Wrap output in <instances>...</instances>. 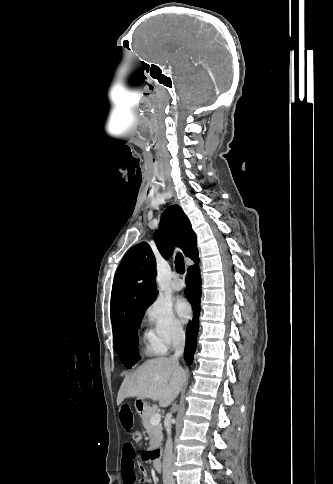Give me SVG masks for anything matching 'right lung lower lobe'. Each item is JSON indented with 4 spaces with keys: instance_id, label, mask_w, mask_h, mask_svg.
Listing matches in <instances>:
<instances>
[{
    "instance_id": "right-lung-lower-lobe-1",
    "label": "right lung lower lobe",
    "mask_w": 333,
    "mask_h": 484,
    "mask_svg": "<svg viewBox=\"0 0 333 484\" xmlns=\"http://www.w3.org/2000/svg\"><path fill=\"white\" fill-rule=\"evenodd\" d=\"M185 293L194 310L193 321H190L187 326L186 344L184 351L187 363L191 364L193 361L194 352L196 350V339L199 329L198 317L201 297V278L200 271L197 265H193L188 268Z\"/></svg>"
}]
</instances>
